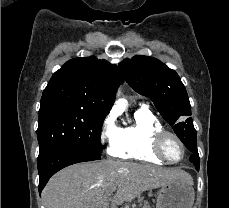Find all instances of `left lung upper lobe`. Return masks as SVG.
Returning a JSON list of instances; mask_svg holds the SVG:
<instances>
[{
	"mask_svg": "<svg viewBox=\"0 0 229 208\" xmlns=\"http://www.w3.org/2000/svg\"><path fill=\"white\" fill-rule=\"evenodd\" d=\"M128 84L139 94L150 97L162 117L182 142L197 140L190 102L178 74L159 60L134 56L120 64Z\"/></svg>",
	"mask_w": 229,
	"mask_h": 208,
	"instance_id": "1",
	"label": "left lung upper lobe"
}]
</instances>
